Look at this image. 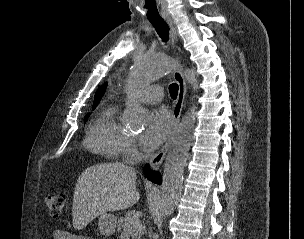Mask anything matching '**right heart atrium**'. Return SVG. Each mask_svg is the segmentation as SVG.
I'll use <instances>...</instances> for the list:
<instances>
[{
    "mask_svg": "<svg viewBox=\"0 0 304 239\" xmlns=\"http://www.w3.org/2000/svg\"><path fill=\"white\" fill-rule=\"evenodd\" d=\"M137 148L134 139L131 136L126 137L124 144H123V152L127 156H132L136 153Z\"/></svg>",
    "mask_w": 304,
    "mask_h": 239,
    "instance_id": "obj_1",
    "label": "right heart atrium"
}]
</instances>
